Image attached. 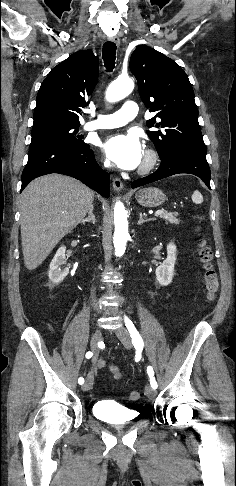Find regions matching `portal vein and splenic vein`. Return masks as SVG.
Segmentation results:
<instances>
[{"label": "portal vein and splenic vein", "mask_w": 236, "mask_h": 486, "mask_svg": "<svg viewBox=\"0 0 236 486\" xmlns=\"http://www.w3.org/2000/svg\"><path fill=\"white\" fill-rule=\"evenodd\" d=\"M163 212H164V210H163V209L157 210V211L155 212V216H156V217H157V216H160V215H161Z\"/></svg>", "instance_id": "portal-vein-and-splenic-vein-1"}]
</instances>
